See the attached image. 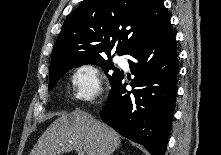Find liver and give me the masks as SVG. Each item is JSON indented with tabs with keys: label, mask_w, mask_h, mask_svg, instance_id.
<instances>
[{
	"label": "liver",
	"mask_w": 221,
	"mask_h": 155,
	"mask_svg": "<svg viewBox=\"0 0 221 155\" xmlns=\"http://www.w3.org/2000/svg\"><path fill=\"white\" fill-rule=\"evenodd\" d=\"M121 144L120 135L90 114L76 110L62 114L41 135L30 155H64L78 147L86 155H111Z\"/></svg>",
	"instance_id": "6515ba94"
}]
</instances>
